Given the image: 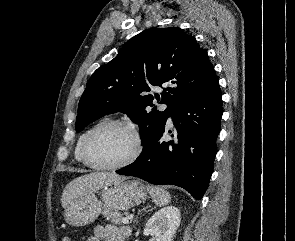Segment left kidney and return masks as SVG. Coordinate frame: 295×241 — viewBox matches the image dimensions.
Here are the masks:
<instances>
[{
	"label": "left kidney",
	"mask_w": 295,
	"mask_h": 241,
	"mask_svg": "<svg viewBox=\"0 0 295 241\" xmlns=\"http://www.w3.org/2000/svg\"><path fill=\"white\" fill-rule=\"evenodd\" d=\"M180 210L167 206L155 212L147 221L144 235H151L154 241H172L181 221Z\"/></svg>",
	"instance_id": "obj_1"
}]
</instances>
